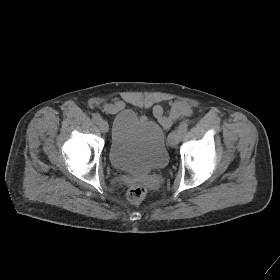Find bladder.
Segmentation results:
<instances>
[{"instance_id":"31cf9c89","label":"bladder","mask_w":280,"mask_h":280,"mask_svg":"<svg viewBox=\"0 0 280 280\" xmlns=\"http://www.w3.org/2000/svg\"><path fill=\"white\" fill-rule=\"evenodd\" d=\"M108 156L113 167L133 174L162 169L169 161L165 130L158 122L124 109L114 118Z\"/></svg>"}]
</instances>
